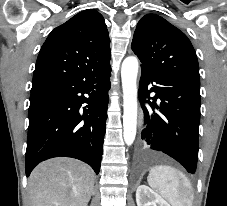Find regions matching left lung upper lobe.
I'll use <instances>...</instances> for the list:
<instances>
[{
  "label": "left lung upper lobe",
  "instance_id": "obj_1",
  "mask_svg": "<svg viewBox=\"0 0 227 206\" xmlns=\"http://www.w3.org/2000/svg\"><path fill=\"white\" fill-rule=\"evenodd\" d=\"M131 47L142 68L200 84L198 60L190 40L164 18L155 14L142 17Z\"/></svg>",
  "mask_w": 227,
  "mask_h": 206
}]
</instances>
